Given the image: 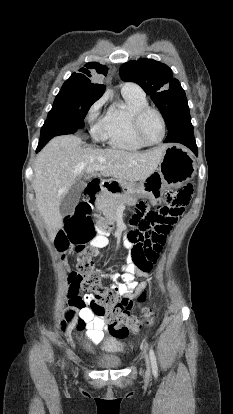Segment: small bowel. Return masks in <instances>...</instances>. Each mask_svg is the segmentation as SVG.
Here are the masks:
<instances>
[{"instance_id": "small-bowel-1", "label": "small bowel", "mask_w": 233, "mask_h": 414, "mask_svg": "<svg viewBox=\"0 0 233 414\" xmlns=\"http://www.w3.org/2000/svg\"><path fill=\"white\" fill-rule=\"evenodd\" d=\"M184 207H180L174 214V222L177 217L182 214ZM173 222V223H174ZM168 233V232H167ZM118 235H125V232H118ZM92 244L95 248H104L108 244V238L105 234H98ZM126 252L130 251L129 244L126 243ZM76 253H80L79 249H75ZM105 272L104 270L102 271ZM150 271L139 269L132 261L130 254L126 257V263L122 267L121 273H114L110 275V278L116 282L110 283L111 290L114 293H119L120 296L133 298L135 293H140L146 287V282L137 283L134 280L135 275L148 277ZM67 286L69 293L66 297L64 320L61 322V330L67 331L69 327L73 329L74 336L79 337L82 332L89 342L98 343L105 332L109 331L108 326L104 322L103 306L95 304L96 302L91 299L93 293L87 290L84 293L85 297H80L77 293L80 292L81 284L84 282L85 274L77 269H71L68 271ZM105 279L106 274L102 275Z\"/></svg>"}]
</instances>
